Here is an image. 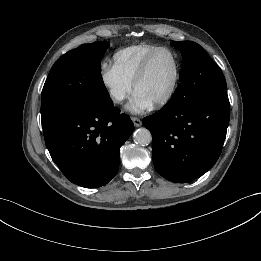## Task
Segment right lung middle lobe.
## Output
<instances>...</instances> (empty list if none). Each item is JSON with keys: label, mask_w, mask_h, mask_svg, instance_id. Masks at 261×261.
<instances>
[{"label": "right lung middle lobe", "mask_w": 261, "mask_h": 261, "mask_svg": "<svg viewBox=\"0 0 261 261\" xmlns=\"http://www.w3.org/2000/svg\"><path fill=\"white\" fill-rule=\"evenodd\" d=\"M108 47L101 41L83 44L55 62L42 90L43 130L71 115L101 110L111 103L100 68Z\"/></svg>", "instance_id": "obj_1"}]
</instances>
